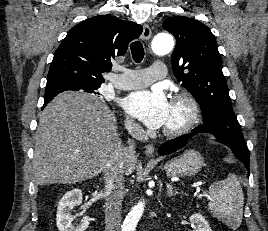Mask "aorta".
I'll use <instances>...</instances> for the list:
<instances>
[{"instance_id": "1", "label": "aorta", "mask_w": 268, "mask_h": 231, "mask_svg": "<svg viewBox=\"0 0 268 231\" xmlns=\"http://www.w3.org/2000/svg\"><path fill=\"white\" fill-rule=\"evenodd\" d=\"M174 47L173 37L166 33L158 34L152 41V50L156 55H165ZM145 202L139 201L127 214L122 224V231H135L136 226L144 212Z\"/></svg>"}]
</instances>
